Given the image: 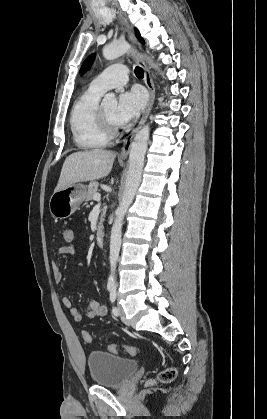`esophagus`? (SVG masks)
<instances>
[{
	"mask_svg": "<svg viewBox=\"0 0 267 419\" xmlns=\"http://www.w3.org/2000/svg\"><path fill=\"white\" fill-rule=\"evenodd\" d=\"M120 20H121V23L126 27V31H127L129 41L135 46L136 45V40H135L134 34L132 33L126 19L122 15H120ZM139 63L144 70V82H145V85H146V87L148 88V91H149V102H148L147 107H146V109L143 113V116H142V118L139 122V125L124 140L123 147H122L121 152L119 154L120 158H127L128 157V155L130 153L133 138H134L135 134L139 131V129L142 127V125L145 123V121L147 120V117H148V115H149V113L152 109V106H153L154 100H155V85H154V81H153L151 73H150V69L143 60H139Z\"/></svg>",
	"mask_w": 267,
	"mask_h": 419,
	"instance_id": "obj_1",
	"label": "esophagus"
}]
</instances>
